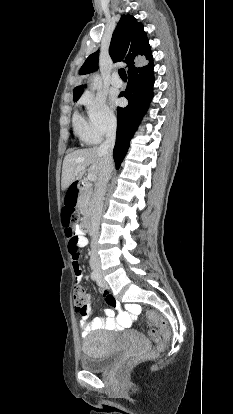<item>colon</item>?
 <instances>
[{
  "mask_svg": "<svg viewBox=\"0 0 233 414\" xmlns=\"http://www.w3.org/2000/svg\"><path fill=\"white\" fill-rule=\"evenodd\" d=\"M78 219H79V215H78V213L75 209L72 212H65L64 211V213H63V222H64V226H65V233H66V236L69 239L68 249H69V252H70L71 256H72L73 251H75V250L79 251V247L77 245L76 232H75V228H74V226H75L76 222L78 221ZM75 281H74V286H73V303H74V306H75L76 313L81 318L83 316L82 311H77V306H82V310H83L84 309V303H88V298H87L85 288H84L82 282L80 281V286H78L76 288L75 287ZM145 316H146L147 322L150 325L157 326L161 330V332H159L158 330L153 328L149 331V337L157 345H156V348L154 350L150 351L148 355L150 357H156V356H158V354L165 347V341H164L163 338H166L169 335V330L167 328L165 320L162 317H160V315L156 311L148 310L146 312ZM139 360H140V357L132 356L127 360L126 365H127V367H132V366L136 365L139 362Z\"/></svg>",
  "mask_w": 233,
  "mask_h": 414,
  "instance_id": "obj_1",
  "label": "colon"
}]
</instances>
